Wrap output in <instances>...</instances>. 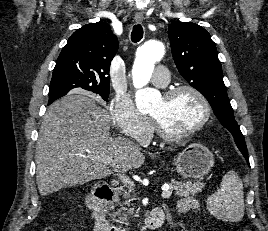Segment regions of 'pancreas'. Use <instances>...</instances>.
<instances>
[{
	"label": "pancreas",
	"mask_w": 268,
	"mask_h": 231,
	"mask_svg": "<svg viewBox=\"0 0 268 231\" xmlns=\"http://www.w3.org/2000/svg\"><path fill=\"white\" fill-rule=\"evenodd\" d=\"M202 187L203 184L201 182H195V183H192L191 181L181 182L172 179L170 183V188L175 191V195L180 197L195 195L201 192ZM132 192L133 189L131 187L126 188L120 187L114 190V197L108 206V210L113 211L112 214H110V218L113 221H116L122 225L127 223L128 213H131L132 210L127 209L125 206L129 205V202L132 197L131 195ZM121 197L125 200L122 201Z\"/></svg>",
	"instance_id": "pancreas-1"
}]
</instances>
